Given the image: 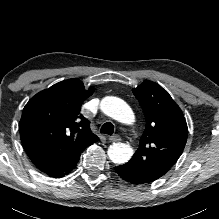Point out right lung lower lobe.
I'll list each match as a JSON object with an SVG mask.
<instances>
[{
  "label": "right lung lower lobe",
  "mask_w": 219,
  "mask_h": 219,
  "mask_svg": "<svg viewBox=\"0 0 219 219\" xmlns=\"http://www.w3.org/2000/svg\"><path fill=\"white\" fill-rule=\"evenodd\" d=\"M78 160H79V158L71 161L67 165L56 167V168L46 169V170H43V172L46 173L47 175H49L50 177H54V178L63 177L65 175H68L76 167Z\"/></svg>",
  "instance_id": "1"
}]
</instances>
